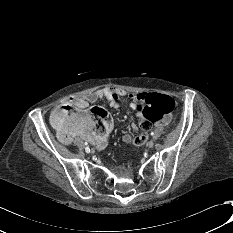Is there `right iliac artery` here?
Listing matches in <instances>:
<instances>
[{"label": "right iliac artery", "instance_id": "obj_1", "mask_svg": "<svg viewBox=\"0 0 233 233\" xmlns=\"http://www.w3.org/2000/svg\"><path fill=\"white\" fill-rule=\"evenodd\" d=\"M85 145H87V142H85ZM86 152L89 153L90 152V148L86 147Z\"/></svg>", "mask_w": 233, "mask_h": 233}]
</instances>
